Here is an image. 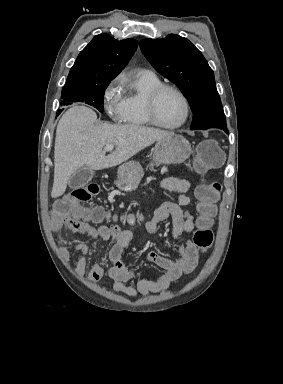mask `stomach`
<instances>
[{
    "mask_svg": "<svg viewBox=\"0 0 283 384\" xmlns=\"http://www.w3.org/2000/svg\"><path fill=\"white\" fill-rule=\"evenodd\" d=\"M192 152L191 144L183 136H166L161 138L155 144L153 152L154 166L160 164H182L190 158ZM141 178H143V170L139 162H126L119 166L117 170L116 186L122 192H133L138 188Z\"/></svg>",
    "mask_w": 283,
    "mask_h": 384,
    "instance_id": "obj_1",
    "label": "stomach"
}]
</instances>
